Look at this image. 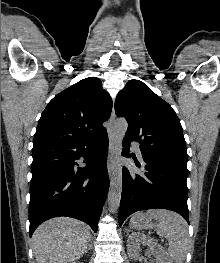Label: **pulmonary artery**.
<instances>
[{"mask_svg": "<svg viewBox=\"0 0 220 263\" xmlns=\"http://www.w3.org/2000/svg\"><path fill=\"white\" fill-rule=\"evenodd\" d=\"M133 146H134V148L136 150L137 156L141 159L142 158V153H141L139 144L136 143V142H133Z\"/></svg>", "mask_w": 220, "mask_h": 263, "instance_id": "1", "label": "pulmonary artery"}]
</instances>
